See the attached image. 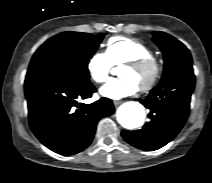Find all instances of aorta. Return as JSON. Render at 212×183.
I'll return each instance as SVG.
<instances>
[{
    "mask_svg": "<svg viewBox=\"0 0 212 183\" xmlns=\"http://www.w3.org/2000/svg\"><path fill=\"white\" fill-rule=\"evenodd\" d=\"M117 120L124 128H138L145 120L144 107L138 102H126L119 107Z\"/></svg>",
    "mask_w": 212,
    "mask_h": 183,
    "instance_id": "762f6f07",
    "label": "aorta"
}]
</instances>
